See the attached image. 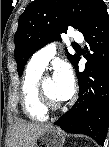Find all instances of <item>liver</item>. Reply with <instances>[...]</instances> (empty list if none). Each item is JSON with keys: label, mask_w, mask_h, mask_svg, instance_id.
<instances>
[{"label": "liver", "mask_w": 109, "mask_h": 147, "mask_svg": "<svg viewBox=\"0 0 109 147\" xmlns=\"http://www.w3.org/2000/svg\"><path fill=\"white\" fill-rule=\"evenodd\" d=\"M53 127L52 124L18 121L12 127L8 147H36L37 139Z\"/></svg>", "instance_id": "1"}]
</instances>
